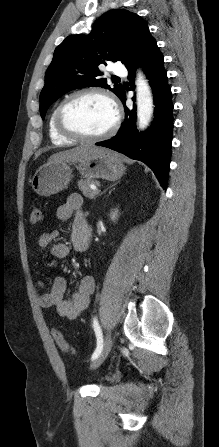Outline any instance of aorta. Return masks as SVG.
I'll return each mask as SVG.
<instances>
[{"mask_svg":"<svg viewBox=\"0 0 219 447\" xmlns=\"http://www.w3.org/2000/svg\"><path fill=\"white\" fill-rule=\"evenodd\" d=\"M136 91L138 126L144 130L152 118L153 97L150 86L140 71L136 78Z\"/></svg>","mask_w":219,"mask_h":447,"instance_id":"aorta-1","label":"aorta"}]
</instances>
